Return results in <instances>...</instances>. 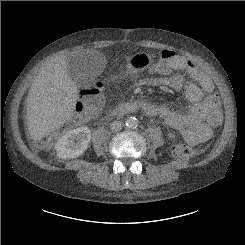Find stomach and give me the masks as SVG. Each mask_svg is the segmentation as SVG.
Segmentation results:
<instances>
[{"label":"stomach","mask_w":245,"mask_h":245,"mask_svg":"<svg viewBox=\"0 0 245 245\" xmlns=\"http://www.w3.org/2000/svg\"><path fill=\"white\" fill-rule=\"evenodd\" d=\"M153 61V57L145 52L137 53L127 61V73L132 75L147 69Z\"/></svg>","instance_id":"stomach-1"}]
</instances>
